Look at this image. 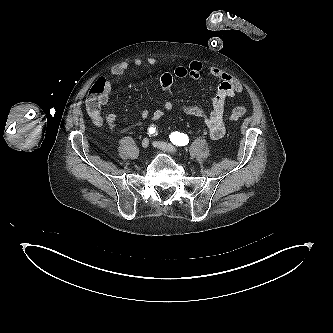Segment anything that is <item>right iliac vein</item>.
<instances>
[{
  "instance_id": "63e3f726",
  "label": "right iliac vein",
  "mask_w": 333,
  "mask_h": 333,
  "mask_svg": "<svg viewBox=\"0 0 333 333\" xmlns=\"http://www.w3.org/2000/svg\"><path fill=\"white\" fill-rule=\"evenodd\" d=\"M149 145V140L147 138H144L142 141V147L147 148Z\"/></svg>"
}]
</instances>
